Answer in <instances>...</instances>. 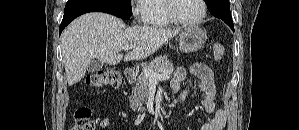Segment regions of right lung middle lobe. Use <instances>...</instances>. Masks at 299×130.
<instances>
[{
	"label": "right lung middle lobe",
	"instance_id": "1",
	"mask_svg": "<svg viewBox=\"0 0 299 130\" xmlns=\"http://www.w3.org/2000/svg\"><path fill=\"white\" fill-rule=\"evenodd\" d=\"M73 2H91L113 6L132 15V7L130 4V0H68L67 4Z\"/></svg>",
	"mask_w": 299,
	"mask_h": 130
}]
</instances>
